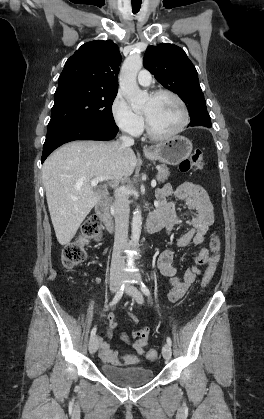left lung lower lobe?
<instances>
[{
  "mask_svg": "<svg viewBox=\"0 0 264 419\" xmlns=\"http://www.w3.org/2000/svg\"><path fill=\"white\" fill-rule=\"evenodd\" d=\"M189 126H205L210 128L212 125L210 117H207L205 114H200L197 116L191 115V121Z\"/></svg>",
  "mask_w": 264,
  "mask_h": 419,
  "instance_id": "1",
  "label": "left lung lower lobe"
}]
</instances>
